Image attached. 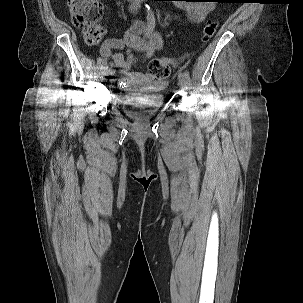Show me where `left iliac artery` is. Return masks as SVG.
<instances>
[{"instance_id":"1","label":"left iliac artery","mask_w":303,"mask_h":303,"mask_svg":"<svg viewBox=\"0 0 303 303\" xmlns=\"http://www.w3.org/2000/svg\"><path fill=\"white\" fill-rule=\"evenodd\" d=\"M148 7V6H147ZM148 10H149V7H148ZM148 15L151 16V15H154L152 11H148ZM184 74L186 76V80H187V83L190 85L191 84V78H190V75H189V72L187 70L184 71Z\"/></svg>"}]
</instances>
